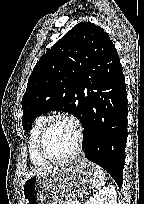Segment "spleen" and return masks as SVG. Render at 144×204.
I'll return each mask as SVG.
<instances>
[{
  "label": "spleen",
  "instance_id": "3e777b00",
  "mask_svg": "<svg viewBox=\"0 0 144 204\" xmlns=\"http://www.w3.org/2000/svg\"><path fill=\"white\" fill-rule=\"evenodd\" d=\"M106 183V176L103 170L99 166L94 167V176L92 181L93 191H100Z\"/></svg>",
  "mask_w": 144,
  "mask_h": 204
}]
</instances>
